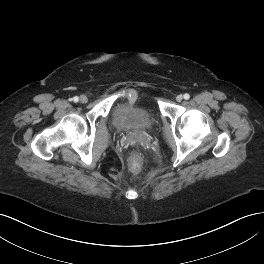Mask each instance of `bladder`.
<instances>
[{"label":"bladder","mask_w":264,"mask_h":264,"mask_svg":"<svg viewBox=\"0 0 264 264\" xmlns=\"http://www.w3.org/2000/svg\"><path fill=\"white\" fill-rule=\"evenodd\" d=\"M112 119L118 130H143L153 125L154 113L144 104L125 101L115 105Z\"/></svg>","instance_id":"bladder-1"}]
</instances>
